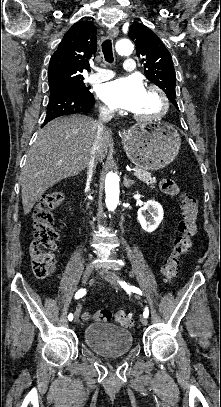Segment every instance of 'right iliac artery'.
I'll list each match as a JSON object with an SVG mask.
<instances>
[{
  "label": "right iliac artery",
  "instance_id": "obj_1",
  "mask_svg": "<svg viewBox=\"0 0 221 407\" xmlns=\"http://www.w3.org/2000/svg\"><path fill=\"white\" fill-rule=\"evenodd\" d=\"M86 294V289H80L76 294H75V298L79 299L81 297H83ZM68 320L72 321L73 320V314H69L68 315Z\"/></svg>",
  "mask_w": 221,
  "mask_h": 407
}]
</instances>
